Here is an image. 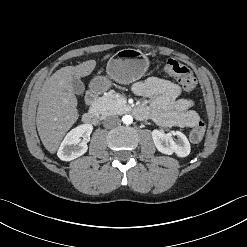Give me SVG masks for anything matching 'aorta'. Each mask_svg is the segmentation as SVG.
<instances>
[{
  "mask_svg": "<svg viewBox=\"0 0 247 247\" xmlns=\"http://www.w3.org/2000/svg\"><path fill=\"white\" fill-rule=\"evenodd\" d=\"M122 122H123L124 124L129 125V124H131V123L133 122V117H132L131 115H124V116L122 117Z\"/></svg>",
  "mask_w": 247,
  "mask_h": 247,
  "instance_id": "aorta-1",
  "label": "aorta"
}]
</instances>
